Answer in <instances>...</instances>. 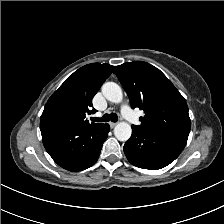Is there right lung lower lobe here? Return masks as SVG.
Returning a JSON list of instances; mask_svg holds the SVG:
<instances>
[{
  "instance_id": "right-lung-lower-lobe-1",
  "label": "right lung lower lobe",
  "mask_w": 224,
  "mask_h": 224,
  "mask_svg": "<svg viewBox=\"0 0 224 224\" xmlns=\"http://www.w3.org/2000/svg\"><path fill=\"white\" fill-rule=\"evenodd\" d=\"M40 130L44 147L52 159L64 169L79 171L97 161L110 126L81 127L44 119L40 122Z\"/></svg>"
}]
</instances>
